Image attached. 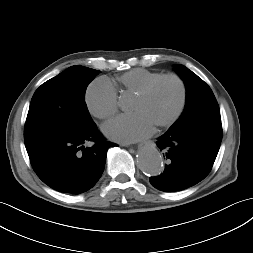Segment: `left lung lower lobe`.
<instances>
[{"label":"left lung lower lobe","instance_id":"1","mask_svg":"<svg viewBox=\"0 0 253 253\" xmlns=\"http://www.w3.org/2000/svg\"><path fill=\"white\" fill-rule=\"evenodd\" d=\"M221 140V122L204 120L171 126L157 141L168 163L161 175L150 178V183L165 192L194 186L210 172Z\"/></svg>","mask_w":253,"mask_h":253}]
</instances>
